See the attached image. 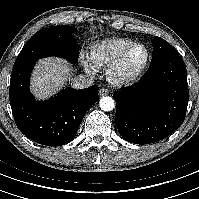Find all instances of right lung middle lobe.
Masks as SVG:
<instances>
[{
    "instance_id": "1",
    "label": "right lung middle lobe",
    "mask_w": 199,
    "mask_h": 199,
    "mask_svg": "<svg viewBox=\"0 0 199 199\" xmlns=\"http://www.w3.org/2000/svg\"><path fill=\"white\" fill-rule=\"evenodd\" d=\"M74 31L72 26H53L39 30L24 45L13 68L48 56H60L76 63L79 47L72 36Z\"/></svg>"
}]
</instances>
